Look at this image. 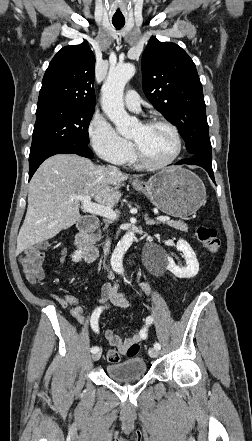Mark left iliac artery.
<instances>
[{
	"label": "left iliac artery",
	"mask_w": 252,
	"mask_h": 441,
	"mask_svg": "<svg viewBox=\"0 0 252 441\" xmlns=\"http://www.w3.org/2000/svg\"><path fill=\"white\" fill-rule=\"evenodd\" d=\"M152 322H153V318H152L151 316H148V317L146 318V325L148 326V325L152 324ZM146 325H142V326L140 327V330H139V339H140V341H142V342L147 341L148 336H149V333H148V327H147ZM154 348L157 349V350H160V349H161V345H160L159 343L156 342V343L154 344Z\"/></svg>",
	"instance_id": "left-iliac-artery-1"
}]
</instances>
